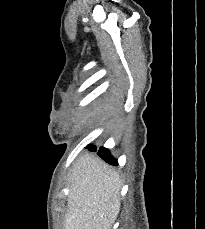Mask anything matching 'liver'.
Segmentation results:
<instances>
[{"label": "liver", "mask_w": 205, "mask_h": 229, "mask_svg": "<svg viewBox=\"0 0 205 229\" xmlns=\"http://www.w3.org/2000/svg\"><path fill=\"white\" fill-rule=\"evenodd\" d=\"M121 180L93 155L78 159L69 178L64 229H111L120 211Z\"/></svg>", "instance_id": "6515ba94"}]
</instances>
